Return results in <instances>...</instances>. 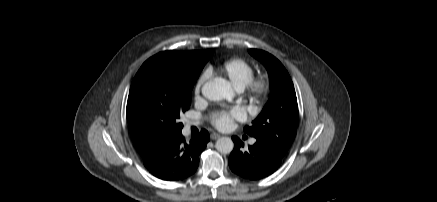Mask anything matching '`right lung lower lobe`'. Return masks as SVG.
I'll list each match as a JSON object with an SVG mask.
<instances>
[{
	"instance_id": "1",
	"label": "right lung lower lobe",
	"mask_w": 437,
	"mask_h": 202,
	"mask_svg": "<svg viewBox=\"0 0 437 202\" xmlns=\"http://www.w3.org/2000/svg\"><path fill=\"white\" fill-rule=\"evenodd\" d=\"M210 140L206 130L187 143L182 133L175 134L143 158L145 167L155 177L178 181L193 175L199 164V155Z\"/></svg>"
}]
</instances>
